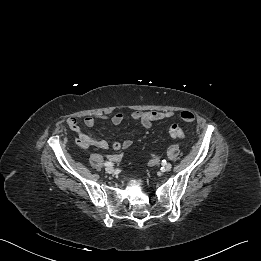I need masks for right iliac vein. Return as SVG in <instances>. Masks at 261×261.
Here are the masks:
<instances>
[{"label":"right iliac vein","mask_w":261,"mask_h":261,"mask_svg":"<svg viewBox=\"0 0 261 261\" xmlns=\"http://www.w3.org/2000/svg\"><path fill=\"white\" fill-rule=\"evenodd\" d=\"M105 171L108 173V174H112L114 172V168L112 166H108L106 167Z\"/></svg>","instance_id":"1"}]
</instances>
